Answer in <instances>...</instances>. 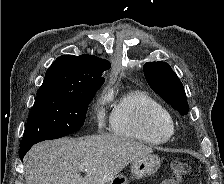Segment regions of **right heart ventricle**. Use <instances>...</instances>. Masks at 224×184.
<instances>
[{
    "instance_id": "1",
    "label": "right heart ventricle",
    "mask_w": 224,
    "mask_h": 184,
    "mask_svg": "<svg viewBox=\"0 0 224 184\" xmlns=\"http://www.w3.org/2000/svg\"><path fill=\"white\" fill-rule=\"evenodd\" d=\"M114 134L147 145H162L169 141L173 119L168 109L141 90L124 93L110 114Z\"/></svg>"
}]
</instances>
